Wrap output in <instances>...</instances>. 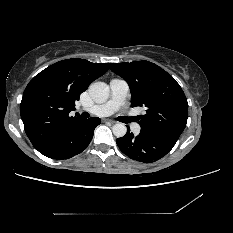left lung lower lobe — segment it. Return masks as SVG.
Returning <instances> with one entry per match:
<instances>
[{
	"mask_svg": "<svg viewBox=\"0 0 233 233\" xmlns=\"http://www.w3.org/2000/svg\"><path fill=\"white\" fill-rule=\"evenodd\" d=\"M120 150L133 160L151 163L165 156L175 145V141L157 138L140 132L134 136L128 128L125 136L116 140Z\"/></svg>",
	"mask_w": 233,
	"mask_h": 233,
	"instance_id": "left-lung-lower-lobe-1",
	"label": "left lung lower lobe"
}]
</instances>
